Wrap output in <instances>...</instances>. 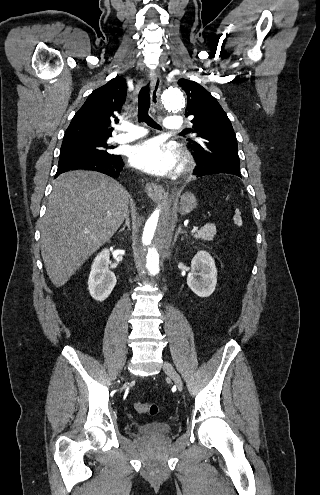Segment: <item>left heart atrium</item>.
<instances>
[{
	"label": "left heart atrium",
	"instance_id": "39dd6f15",
	"mask_svg": "<svg viewBox=\"0 0 320 495\" xmlns=\"http://www.w3.org/2000/svg\"><path fill=\"white\" fill-rule=\"evenodd\" d=\"M129 161L134 167L144 172L166 175L176 169L178 155L158 139H149L130 149Z\"/></svg>",
	"mask_w": 320,
	"mask_h": 495
}]
</instances>
